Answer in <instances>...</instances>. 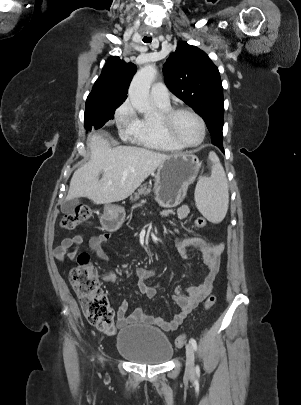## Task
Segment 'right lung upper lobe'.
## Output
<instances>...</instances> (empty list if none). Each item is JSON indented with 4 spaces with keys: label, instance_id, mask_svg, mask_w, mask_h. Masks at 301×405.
<instances>
[{
    "label": "right lung upper lobe",
    "instance_id": "1",
    "mask_svg": "<svg viewBox=\"0 0 301 405\" xmlns=\"http://www.w3.org/2000/svg\"><path fill=\"white\" fill-rule=\"evenodd\" d=\"M136 65L111 57L103 67L100 77L96 80L86 103L102 101L110 107H118L127 98L128 87Z\"/></svg>",
    "mask_w": 301,
    "mask_h": 405
}]
</instances>
